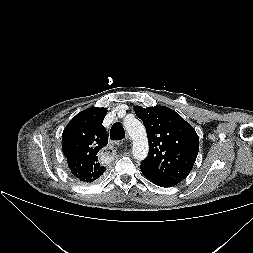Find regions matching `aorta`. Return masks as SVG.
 <instances>
[{
  "mask_svg": "<svg viewBox=\"0 0 253 253\" xmlns=\"http://www.w3.org/2000/svg\"><path fill=\"white\" fill-rule=\"evenodd\" d=\"M124 127L133 141L132 153L135 159L143 160L148 154V140L143 124L134 117L124 120Z\"/></svg>",
  "mask_w": 253,
  "mask_h": 253,
  "instance_id": "762f6f07",
  "label": "aorta"
}]
</instances>
